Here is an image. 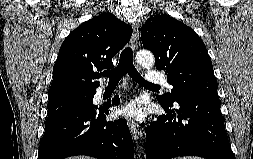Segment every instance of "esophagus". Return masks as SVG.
I'll return each mask as SVG.
<instances>
[{"label": "esophagus", "mask_w": 253, "mask_h": 159, "mask_svg": "<svg viewBox=\"0 0 253 159\" xmlns=\"http://www.w3.org/2000/svg\"><path fill=\"white\" fill-rule=\"evenodd\" d=\"M131 46L133 50L138 49L139 46V25L137 23H133V34L131 39ZM129 129L132 134V137L135 140L142 138L143 130L136 124L134 121H129Z\"/></svg>", "instance_id": "1"}]
</instances>
